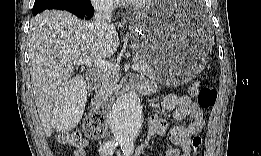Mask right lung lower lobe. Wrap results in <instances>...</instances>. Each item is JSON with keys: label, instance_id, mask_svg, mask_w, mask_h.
Segmentation results:
<instances>
[{"label": "right lung lower lobe", "instance_id": "1", "mask_svg": "<svg viewBox=\"0 0 261 156\" xmlns=\"http://www.w3.org/2000/svg\"><path fill=\"white\" fill-rule=\"evenodd\" d=\"M50 9L66 10L81 18L91 17L94 14V8L89 0H72L70 4L36 10L33 11V14L36 15L37 13Z\"/></svg>", "mask_w": 261, "mask_h": 156}]
</instances>
